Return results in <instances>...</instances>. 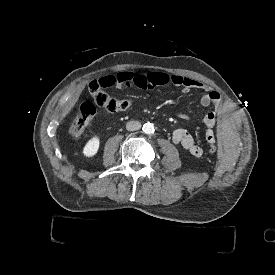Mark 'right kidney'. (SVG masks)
I'll list each match as a JSON object with an SVG mask.
<instances>
[{
    "mask_svg": "<svg viewBox=\"0 0 275 275\" xmlns=\"http://www.w3.org/2000/svg\"><path fill=\"white\" fill-rule=\"evenodd\" d=\"M100 148V137L93 136L91 137L82 149V155L86 158H91L97 155Z\"/></svg>",
    "mask_w": 275,
    "mask_h": 275,
    "instance_id": "right-kidney-1",
    "label": "right kidney"
}]
</instances>
